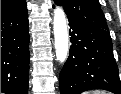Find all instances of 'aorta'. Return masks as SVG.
<instances>
[{"instance_id":"1","label":"aorta","mask_w":121,"mask_h":94,"mask_svg":"<svg viewBox=\"0 0 121 94\" xmlns=\"http://www.w3.org/2000/svg\"><path fill=\"white\" fill-rule=\"evenodd\" d=\"M53 29L55 37L56 58L60 63H64L68 56V30L66 16L61 7L54 10Z\"/></svg>"}]
</instances>
